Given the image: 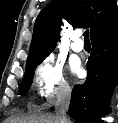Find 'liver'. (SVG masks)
I'll use <instances>...</instances> for the list:
<instances>
[{
    "label": "liver",
    "instance_id": "obj_1",
    "mask_svg": "<svg viewBox=\"0 0 118 123\" xmlns=\"http://www.w3.org/2000/svg\"><path fill=\"white\" fill-rule=\"evenodd\" d=\"M4 123H60L54 114L36 113L29 116H11Z\"/></svg>",
    "mask_w": 118,
    "mask_h": 123
}]
</instances>
